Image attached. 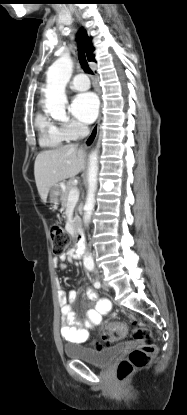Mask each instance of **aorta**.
Wrapping results in <instances>:
<instances>
[{"mask_svg":"<svg viewBox=\"0 0 187 415\" xmlns=\"http://www.w3.org/2000/svg\"><path fill=\"white\" fill-rule=\"evenodd\" d=\"M73 70V62L68 56L58 58L47 71V84L45 89L46 110L55 119L66 118L67 96L65 87L69 82ZM98 151L94 150L89 157L88 167V193L84 205V223L90 222L95 206V193L97 190ZM85 264H93L90 255H85Z\"/></svg>","mask_w":187,"mask_h":415,"instance_id":"aorta-1","label":"aorta"}]
</instances>
